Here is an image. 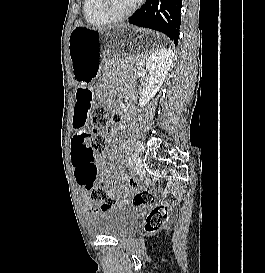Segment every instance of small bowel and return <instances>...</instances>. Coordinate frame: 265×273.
<instances>
[{"mask_svg":"<svg viewBox=\"0 0 265 273\" xmlns=\"http://www.w3.org/2000/svg\"><path fill=\"white\" fill-rule=\"evenodd\" d=\"M113 112L119 113L118 111H113ZM117 129L118 127L112 128L109 131V134L111 136L114 135ZM89 136H90V131L87 128H82V131H79V128H74V132L70 140L71 166H72V170H73L76 182L78 183L79 186L84 188L83 198L85 201V206H84L85 213L92 212L94 208L91 206V204L87 200V195L85 191L87 188L81 185L79 174L81 172L88 174L91 170L96 168L97 173L100 170L102 175H110L111 168L105 162V160L114 156V153L112 151H107L103 153L100 157L91 156L89 154V143H88ZM96 176H95V179H96Z\"/></svg>","mask_w":265,"mask_h":273,"instance_id":"1","label":"small bowel"}]
</instances>
